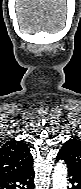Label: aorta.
I'll return each mask as SVG.
<instances>
[{
  "label": "aorta",
  "mask_w": 81,
  "mask_h": 189,
  "mask_svg": "<svg viewBox=\"0 0 81 189\" xmlns=\"http://www.w3.org/2000/svg\"><path fill=\"white\" fill-rule=\"evenodd\" d=\"M52 189H67V168L62 162L58 163L52 175Z\"/></svg>",
  "instance_id": "obj_1"
}]
</instances>
